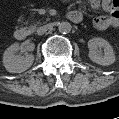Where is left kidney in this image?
<instances>
[{
	"mask_svg": "<svg viewBox=\"0 0 119 119\" xmlns=\"http://www.w3.org/2000/svg\"><path fill=\"white\" fill-rule=\"evenodd\" d=\"M88 47L90 50L89 58L93 62L103 66H108L115 62L116 58L113 48L107 40L100 37L92 38L88 42ZM101 47L104 49V55L98 51V48Z\"/></svg>",
	"mask_w": 119,
	"mask_h": 119,
	"instance_id": "left-kidney-1",
	"label": "left kidney"
}]
</instances>
